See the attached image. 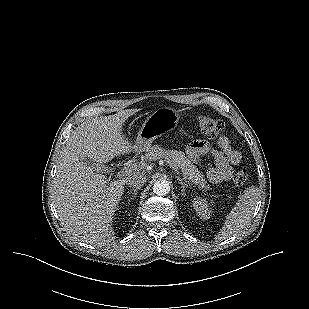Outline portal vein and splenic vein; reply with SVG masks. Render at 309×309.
Returning a JSON list of instances; mask_svg holds the SVG:
<instances>
[{
	"instance_id": "portal-vein-and-splenic-vein-1",
	"label": "portal vein and splenic vein",
	"mask_w": 309,
	"mask_h": 309,
	"mask_svg": "<svg viewBox=\"0 0 309 309\" xmlns=\"http://www.w3.org/2000/svg\"><path fill=\"white\" fill-rule=\"evenodd\" d=\"M167 164L171 165V163L169 161H166ZM172 166V165H171ZM138 167L137 164H132V165H128L127 167H124L122 170L117 172V176L118 177H122L124 176L126 173L131 172L133 170H135ZM173 169L175 170V168L173 167ZM176 171V170H175Z\"/></svg>"
}]
</instances>
